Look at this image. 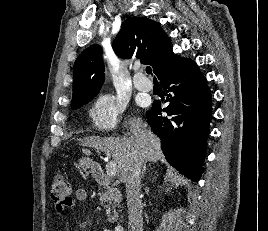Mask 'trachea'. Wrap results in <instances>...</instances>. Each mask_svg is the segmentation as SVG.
<instances>
[{
    "label": "trachea",
    "mask_w": 268,
    "mask_h": 231,
    "mask_svg": "<svg viewBox=\"0 0 268 231\" xmlns=\"http://www.w3.org/2000/svg\"><path fill=\"white\" fill-rule=\"evenodd\" d=\"M146 73H147V74H152V69H151V67H146Z\"/></svg>",
    "instance_id": "obj_1"
}]
</instances>
